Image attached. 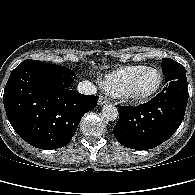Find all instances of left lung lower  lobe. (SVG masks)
I'll return each mask as SVG.
<instances>
[{"label":"left lung lower lobe","instance_id":"left-lung-lower-lobe-1","mask_svg":"<svg viewBox=\"0 0 195 195\" xmlns=\"http://www.w3.org/2000/svg\"><path fill=\"white\" fill-rule=\"evenodd\" d=\"M188 96L187 79H177L169 81L162 92L143 105L118 106L115 138L121 145L138 150L160 145L180 126Z\"/></svg>","mask_w":195,"mask_h":195}]
</instances>
